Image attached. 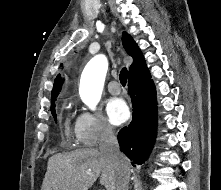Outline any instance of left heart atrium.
<instances>
[{
  "mask_svg": "<svg viewBox=\"0 0 221 190\" xmlns=\"http://www.w3.org/2000/svg\"><path fill=\"white\" fill-rule=\"evenodd\" d=\"M107 117L111 124L120 125L128 120L130 112L127 104L121 98H112L106 106Z\"/></svg>",
  "mask_w": 221,
  "mask_h": 190,
  "instance_id": "39dd6f15",
  "label": "left heart atrium"
}]
</instances>
